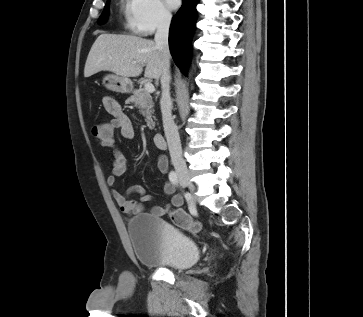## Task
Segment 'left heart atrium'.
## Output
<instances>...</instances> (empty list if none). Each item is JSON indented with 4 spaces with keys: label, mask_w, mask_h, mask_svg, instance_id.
Returning <instances> with one entry per match:
<instances>
[{
    "label": "left heart atrium",
    "mask_w": 363,
    "mask_h": 317,
    "mask_svg": "<svg viewBox=\"0 0 363 317\" xmlns=\"http://www.w3.org/2000/svg\"><path fill=\"white\" fill-rule=\"evenodd\" d=\"M168 7L171 9H176L180 5V0H165Z\"/></svg>",
    "instance_id": "obj_1"
}]
</instances>
